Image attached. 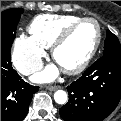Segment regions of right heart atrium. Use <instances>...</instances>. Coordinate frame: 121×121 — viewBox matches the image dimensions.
<instances>
[{"label":"right heart atrium","instance_id":"d8ad5b80","mask_svg":"<svg viewBox=\"0 0 121 121\" xmlns=\"http://www.w3.org/2000/svg\"><path fill=\"white\" fill-rule=\"evenodd\" d=\"M46 56V51L32 36L18 35L13 42L12 62L23 75L38 71Z\"/></svg>","mask_w":121,"mask_h":121}]
</instances>
